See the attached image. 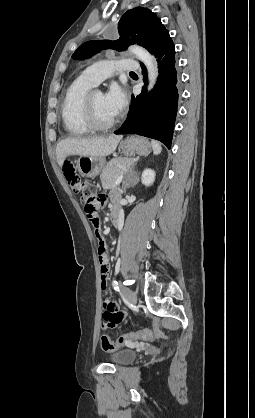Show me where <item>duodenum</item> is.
<instances>
[{
    "mask_svg": "<svg viewBox=\"0 0 255 418\" xmlns=\"http://www.w3.org/2000/svg\"><path fill=\"white\" fill-rule=\"evenodd\" d=\"M111 222L115 227L120 223V209L118 206H113L111 210Z\"/></svg>",
    "mask_w": 255,
    "mask_h": 418,
    "instance_id": "duodenum-1",
    "label": "duodenum"
}]
</instances>
